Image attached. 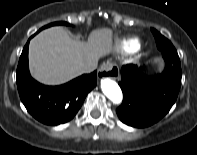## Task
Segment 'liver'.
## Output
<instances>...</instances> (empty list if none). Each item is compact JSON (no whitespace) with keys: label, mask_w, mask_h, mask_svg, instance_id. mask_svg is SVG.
<instances>
[{"label":"liver","mask_w":197,"mask_h":155,"mask_svg":"<svg viewBox=\"0 0 197 155\" xmlns=\"http://www.w3.org/2000/svg\"><path fill=\"white\" fill-rule=\"evenodd\" d=\"M112 31H93L88 42L72 39L61 27H51L36 35L29 46V65L38 81L57 85L80 74L85 64L97 63L112 51Z\"/></svg>","instance_id":"6515ba94"}]
</instances>
